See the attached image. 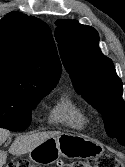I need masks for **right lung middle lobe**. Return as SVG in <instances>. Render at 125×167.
<instances>
[{"mask_svg": "<svg viewBox=\"0 0 125 167\" xmlns=\"http://www.w3.org/2000/svg\"><path fill=\"white\" fill-rule=\"evenodd\" d=\"M52 89L34 93L0 90V127L11 131H24L31 123V110Z\"/></svg>", "mask_w": 125, "mask_h": 167, "instance_id": "1", "label": "right lung middle lobe"}]
</instances>
